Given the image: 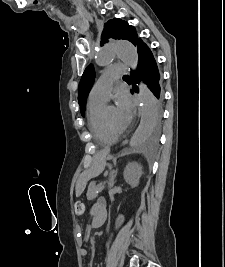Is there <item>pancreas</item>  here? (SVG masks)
<instances>
[{
  "instance_id": "1",
  "label": "pancreas",
  "mask_w": 225,
  "mask_h": 267,
  "mask_svg": "<svg viewBox=\"0 0 225 267\" xmlns=\"http://www.w3.org/2000/svg\"><path fill=\"white\" fill-rule=\"evenodd\" d=\"M104 186L103 185H95L93 182H91L88 186V191H87V199L92 200L94 199L102 190Z\"/></svg>"
}]
</instances>
